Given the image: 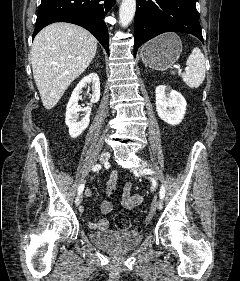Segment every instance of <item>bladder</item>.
<instances>
[{"label":"bladder","mask_w":240,"mask_h":281,"mask_svg":"<svg viewBox=\"0 0 240 281\" xmlns=\"http://www.w3.org/2000/svg\"><path fill=\"white\" fill-rule=\"evenodd\" d=\"M89 238L94 245L102 249L124 252L137 247L143 240V233L100 230L91 232Z\"/></svg>","instance_id":"31cf9c89"}]
</instances>
